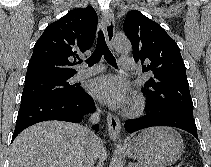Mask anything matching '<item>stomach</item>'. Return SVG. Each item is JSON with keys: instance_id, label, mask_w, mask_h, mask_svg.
Instances as JSON below:
<instances>
[{"instance_id": "stomach-1", "label": "stomach", "mask_w": 211, "mask_h": 167, "mask_svg": "<svg viewBox=\"0 0 211 167\" xmlns=\"http://www.w3.org/2000/svg\"><path fill=\"white\" fill-rule=\"evenodd\" d=\"M125 151L144 167H169L182 155L183 139L172 128H148L128 140Z\"/></svg>"}]
</instances>
